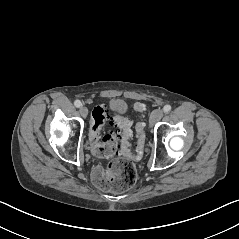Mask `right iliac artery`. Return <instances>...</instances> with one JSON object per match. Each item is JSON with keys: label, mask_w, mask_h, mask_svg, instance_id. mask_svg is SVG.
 Instances as JSON below:
<instances>
[{"label": "right iliac artery", "mask_w": 239, "mask_h": 239, "mask_svg": "<svg viewBox=\"0 0 239 239\" xmlns=\"http://www.w3.org/2000/svg\"><path fill=\"white\" fill-rule=\"evenodd\" d=\"M74 105H75L77 108H79V107H81L82 103H81L80 100H76V101L74 102Z\"/></svg>", "instance_id": "obj_1"}]
</instances>
